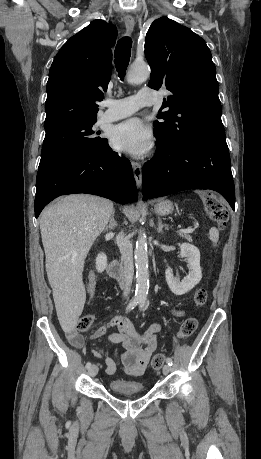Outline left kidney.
Instances as JSON below:
<instances>
[{
	"mask_svg": "<svg viewBox=\"0 0 261 459\" xmlns=\"http://www.w3.org/2000/svg\"><path fill=\"white\" fill-rule=\"evenodd\" d=\"M180 250L181 257L186 258L188 263V275L180 281L178 278L173 276L172 269L168 268L165 271L167 284L175 295H183L187 293L194 288L202 278L199 249L192 244L183 243L180 246Z\"/></svg>",
	"mask_w": 261,
	"mask_h": 459,
	"instance_id": "5707ae66",
	"label": "left kidney"
}]
</instances>
